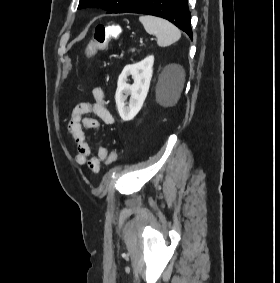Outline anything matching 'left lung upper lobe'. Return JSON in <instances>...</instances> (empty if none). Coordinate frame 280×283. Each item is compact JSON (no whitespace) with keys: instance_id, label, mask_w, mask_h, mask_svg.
Masks as SVG:
<instances>
[{"instance_id":"5c2ea615","label":"left lung upper lobe","mask_w":280,"mask_h":283,"mask_svg":"<svg viewBox=\"0 0 280 283\" xmlns=\"http://www.w3.org/2000/svg\"><path fill=\"white\" fill-rule=\"evenodd\" d=\"M141 0H80L78 9L84 7H101L107 13H124Z\"/></svg>"}]
</instances>
